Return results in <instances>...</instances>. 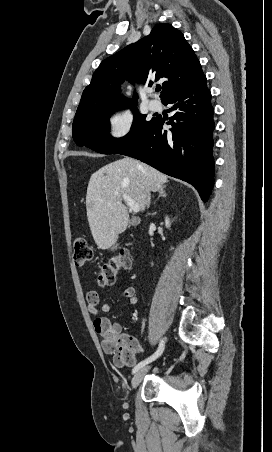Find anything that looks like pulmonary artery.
Listing matches in <instances>:
<instances>
[{
	"label": "pulmonary artery",
	"instance_id": "1",
	"mask_svg": "<svg viewBox=\"0 0 272 452\" xmlns=\"http://www.w3.org/2000/svg\"><path fill=\"white\" fill-rule=\"evenodd\" d=\"M150 109L153 111H159L162 107V104L159 100L153 99L149 103Z\"/></svg>",
	"mask_w": 272,
	"mask_h": 452
}]
</instances>
